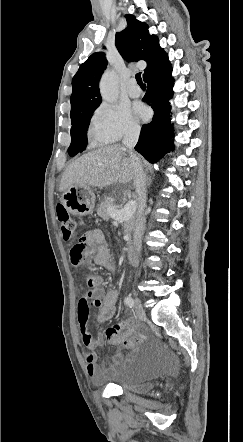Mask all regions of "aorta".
<instances>
[{
  "label": "aorta",
  "instance_id": "1",
  "mask_svg": "<svg viewBox=\"0 0 243 442\" xmlns=\"http://www.w3.org/2000/svg\"><path fill=\"white\" fill-rule=\"evenodd\" d=\"M100 93L103 100L115 103L118 99V88L116 75L113 72L103 74L100 81Z\"/></svg>",
  "mask_w": 243,
  "mask_h": 442
}]
</instances>
